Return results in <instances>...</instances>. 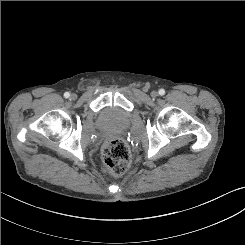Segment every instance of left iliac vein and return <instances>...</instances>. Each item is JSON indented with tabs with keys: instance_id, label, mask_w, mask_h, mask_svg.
Instances as JSON below:
<instances>
[{
	"instance_id": "4c4485c4",
	"label": "left iliac vein",
	"mask_w": 245,
	"mask_h": 245,
	"mask_svg": "<svg viewBox=\"0 0 245 245\" xmlns=\"http://www.w3.org/2000/svg\"><path fill=\"white\" fill-rule=\"evenodd\" d=\"M151 96H152L153 98H156V97L158 96V92L152 91V92H151Z\"/></svg>"
}]
</instances>
